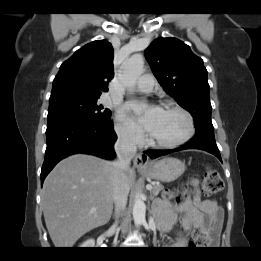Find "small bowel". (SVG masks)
I'll list each match as a JSON object with an SVG mask.
<instances>
[{"instance_id": "obj_1", "label": "small bowel", "mask_w": 261, "mask_h": 261, "mask_svg": "<svg viewBox=\"0 0 261 261\" xmlns=\"http://www.w3.org/2000/svg\"><path fill=\"white\" fill-rule=\"evenodd\" d=\"M195 196L186 198L179 204L163 202L160 225L168 231H175L178 215H181V225L185 231L195 232L209 230L211 239L216 241L221 230L223 214L216 201L201 199L197 183L194 181Z\"/></svg>"}]
</instances>
